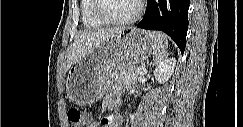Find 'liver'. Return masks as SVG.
I'll return each mask as SVG.
<instances>
[{"label": "liver", "instance_id": "liver-1", "mask_svg": "<svg viewBox=\"0 0 243 127\" xmlns=\"http://www.w3.org/2000/svg\"><path fill=\"white\" fill-rule=\"evenodd\" d=\"M125 29L126 28L122 27L84 30L79 32L75 37L74 43L67 50L64 73H66L82 56L89 54L108 39Z\"/></svg>", "mask_w": 243, "mask_h": 127}]
</instances>
